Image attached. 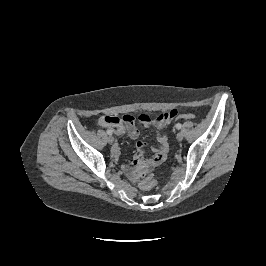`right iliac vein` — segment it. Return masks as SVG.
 <instances>
[{"label": "right iliac vein", "instance_id": "63e3f726", "mask_svg": "<svg viewBox=\"0 0 266 266\" xmlns=\"http://www.w3.org/2000/svg\"><path fill=\"white\" fill-rule=\"evenodd\" d=\"M107 141H108L109 144H112L114 142V137L111 136V135L108 136Z\"/></svg>", "mask_w": 266, "mask_h": 266}]
</instances>
